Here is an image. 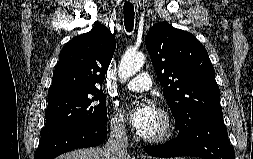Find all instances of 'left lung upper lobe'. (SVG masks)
I'll list each match as a JSON object with an SVG mask.
<instances>
[{
	"instance_id": "left-lung-upper-lobe-1",
	"label": "left lung upper lobe",
	"mask_w": 253,
	"mask_h": 159,
	"mask_svg": "<svg viewBox=\"0 0 253 159\" xmlns=\"http://www.w3.org/2000/svg\"><path fill=\"white\" fill-rule=\"evenodd\" d=\"M145 43L177 129L196 116L222 113L213 65L194 35L160 22Z\"/></svg>"
}]
</instances>
